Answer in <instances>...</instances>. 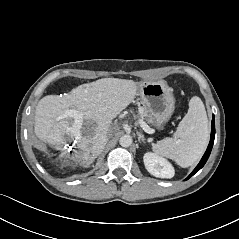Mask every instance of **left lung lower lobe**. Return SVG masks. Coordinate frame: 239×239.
Returning a JSON list of instances; mask_svg holds the SVG:
<instances>
[{"label":"left lung lower lobe","instance_id":"1","mask_svg":"<svg viewBox=\"0 0 239 239\" xmlns=\"http://www.w3.org/2000/svg\"><path fill=\"white\" fill-rule=\"evenodd\" d=\"M214 138H215V122H214V115H213L211 137H210V142L207 147V150H206L205 154L203 155L199 164L196 166V168L193 170V172L185 180L189 179L191 176H193L195 173H197L205 165V163L208 160L209 155L211 153L213 143H214Z\"/></svg>","mask_w":239,"mask_h":239}]
</instances>
